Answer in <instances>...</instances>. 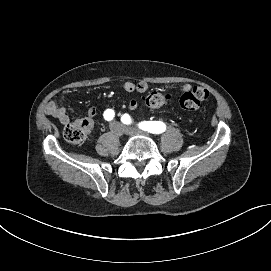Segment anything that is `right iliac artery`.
Wrapping results in <instances>:
<instances>
[{
    "mask_svg": "<svg viewBox=\"0 0 271 271\" xmlns=\"http://www.w3.org/2000/svg\"><path fill=\"white\" fill-rule=\"evenodd\" d=\"M114 115H115V113L112 109H107L103 114L105 120H107V121L112 120L114 118Z\"/></svg>",
    "mask_w": 271,
    "mask_h": 271,
    "instance_id": "82829eb1",
    "label": "right iliac artery"
}]
</instances>
